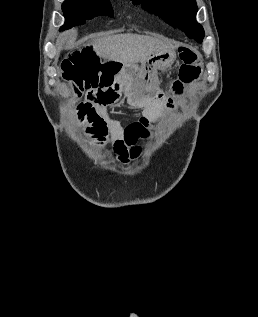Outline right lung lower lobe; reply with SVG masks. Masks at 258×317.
Instances as JSON below:
<instances>
[{"label": "right lung lower lobe", "mask_w": 258, "mask_h": 317, "mask_svg": "<svg viewBox=\"0 0 258 317\" xmlns=\"http://www.w3.org/2000/svg\"><path fill=\"white\" fill-rule=\"evenodd\" d=\"M64 16L66 21L65 25L61 28L62 30L78 24H83L86 20H88L87 18H84L80 14L74 12H64Z\"/></svg>", "instance_id": "right-lung-lower-lobe-1"}]
</instances>
